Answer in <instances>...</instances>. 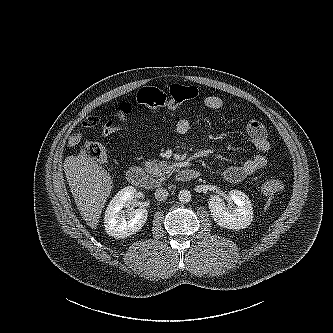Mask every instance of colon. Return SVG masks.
I'll return each instance as SVG.
<instances>
[{
	"mask_svg": "<svg viewBox=\"0 0 333 333\" xmlns=\"http://www.w3.org/2000/svg\"><path fill=\"white\" fill-rule=\"evenodd\" d=\"M199 94L196 87L181 84H172L167 91L156 87H144L137 93L136 99L150 108L175 109L184 102L195 99ZM131 104L121 102L110 112V117L117 120H124L125 116L131 112ZM80 154L87 156L95 161L101 162L105 159V151L97 142H87L80 150ZM284 188V182L280 179L266 181L260 187L264 194L280 191Z\"/></svg>",
	"mask_w": 333,
	"mask_h": 333,
	"instance_id": "1",
	"label": "colon"
}]
</instances>
